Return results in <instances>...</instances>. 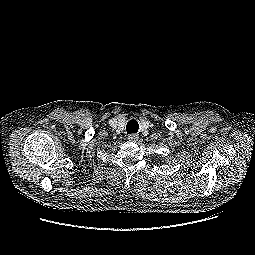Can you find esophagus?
Wrapping results in <instances>:
<instances>
[{"instance_id":"1","label":"esophagus","mask_w":255,"mask_h":255,"mask_svg":"<svg viewBox=\"0 0 255 255\" xmlns=\"http://www.w3.org/2000/svg\"><path fill=\"white\" fill-rule=\"evenodd\" d=\"M139 138V135L138 134H135V133H132L128 136V140L129 141H132V142H136Z\"/></svg>"}]
</instances>
